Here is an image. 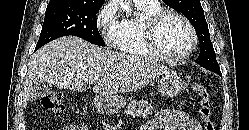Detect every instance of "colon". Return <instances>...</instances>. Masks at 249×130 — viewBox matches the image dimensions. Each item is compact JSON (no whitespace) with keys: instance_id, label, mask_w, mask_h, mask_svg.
<instances>
[{"instance_id":"obj_1","label":"colon","mask_w":249,"mask_h":130,"mask_svg":"<svg viewBox=\"0 0 249 130\" xmlns=\"http://www.w3.org/2000/svg\"><path fill=\"white\" fill-rule=\"evenodd\" d=\"M192 90L199 98V113L204 125V130H215L207 88L201 83H194ZM42 106L55 116H62L65 110L63 93L55 92L44 97L42 99Z\"/></svg>"}]
</instances>
